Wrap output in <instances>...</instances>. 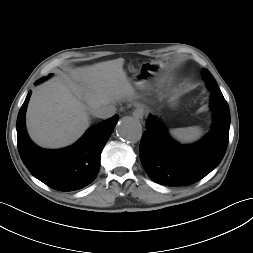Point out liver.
I'll return each instance as SVG.
<instances>
[{"instance_id":"6515ba94","label":"liver","mask_w":253,"mask_h":253,"mask_svg":"<svg viewBox=\"0 0 253 253\" xmlns=\"http://www.w3.org/2000/svg\"><path fill=\"white\" fill-rule=\"evenodd\" d=\"M124 61L77 68L72 78H54L35 90L26 113L31 139L41 147L60 148L80 138L89 127L88 107L95 110L130 94Z\"/></svg>"}]
</instances>
